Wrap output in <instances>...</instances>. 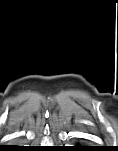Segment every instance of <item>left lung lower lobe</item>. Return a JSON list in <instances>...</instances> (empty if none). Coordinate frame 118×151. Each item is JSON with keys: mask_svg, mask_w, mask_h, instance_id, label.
Instances as JSON below:
<instances>
[{"mask_svg": "<svg viewBox=\"0 0 118 151\" xmlns=\"http://www.w3.org/2000/svg\"><path fill=\"white\" fill-rule=\"evenodd\" d=\"M72 150L73 151H94L95 148L86 147V146H75V148H73Z\"/></svg>", "mask_w": 118, "mask_h": 151, "instance_id": "left-lung-lower-lobe-1", "label": "left lung lower lobe"}]
</instances>
